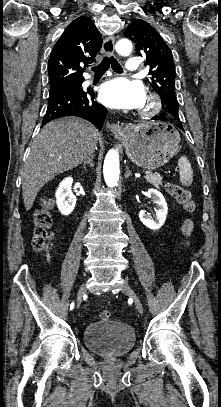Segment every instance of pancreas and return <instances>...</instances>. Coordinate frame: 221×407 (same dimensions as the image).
Segmentation results:
<instances>
[{"mask_svg": "<svg viewBox=\"0 0 221 407\" xmlns=\"http://www.w3.org/2000/svg\"><path fill=\"white\" fill-rule=\"evenodd\" d=\"M146 180L156 188H159L160 186H162V178L157 173H153V174L146 176Z\"/></svg>", "mask_w": 221, "mask_h": 407, "instance_id": "cf45deb5", "label": "pancreas"}]
</instances>
